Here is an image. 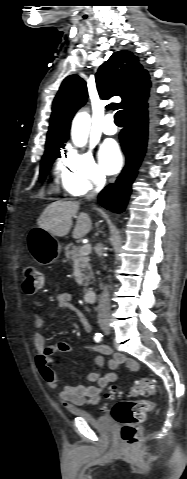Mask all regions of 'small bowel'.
<instances>
[{
	"label": "small bowel",
	"mask_w": 187,
	"mask_h": 479,
	"mask_svg": "<svg viewBox=\"0 0 187 479\" xmlns=\"http://www.w3.org/2000/svg\"><path fill=\"white\" fill-rule=\"evenodd\" d=\"M73 296L70 293L62 292L56 295L55 301L59 309L70 310L79 314L83 323L85 332L90 333L91 327L87 322L85 316L79 313L78 308L72 302ZM52 313L41 314L33 312L31 319L34 326L33 341L38 351L35 360V365L46 382V384L53 390L57 391L59 400L68 408L80 407L84 405H96L100 401V395L106 386L116 381L117 374L115 370L124 364L129 370L136 371L138 363L134 359L125 357L122 354H113L112 351L104 345H75L66 341H60L53 345H46L43 335L38 331L44 324V321ZM76 349H86L96 352L98 355L95 358V370L90 372L87 376V381L93 384H75L66 386L60 389V379L52 368L51 356L54 353H67ZM102 355L112 356L108 362L109 367L113 370L104 377H99L98 368L102 364Z\"/></svg>",
	"instance_id": "1"
}]
</instances>
